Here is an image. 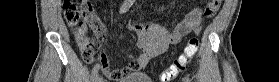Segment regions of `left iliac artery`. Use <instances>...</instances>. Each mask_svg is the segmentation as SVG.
<instances>
[{
	"label": "left iliac artery",
	"instance_id": "left-iliac-artery-1",
	"mask_svg": "<svg viewBox=\"0 0 279 82\" xmlns=\"http://www.w3.org/2000/svg\"><path fill=\"white\" fill-rule=\"evenodd\" d=\"M184 82H191L190 78L188 76L184 77L183 79Z\"/></svg>",
	"mask_w": 279,
	"mask_h": 82
}]
</instances>
